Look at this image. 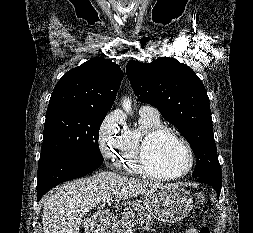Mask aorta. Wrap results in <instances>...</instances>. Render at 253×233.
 <instances>
[{
	"label": "aorta",
	"instance_id": "762f6f07",
	"mask_svg": "<svg viewBox=\"0 0 253 233\" xmlns=\"http://www.w3.org/2000/svg\"><path fill=\"white\" fill-rule=\"evenodd\" d=\"M131 106V101L127 98H124L122 101V107L128 114H131Z\"/></svg>",
	"mask_w": 253,
	"mask_h": 233
}]
</instances>
